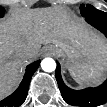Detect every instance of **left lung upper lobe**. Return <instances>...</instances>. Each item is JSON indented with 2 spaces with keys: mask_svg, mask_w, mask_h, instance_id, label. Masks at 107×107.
I'll return each mask as SVG.
<instances>
[{
  "mask_svg": "<svg viewBox=\"0 0 107 107\" xmlns=\"http://www.w3.org/2000/svg\"><path fill=\"white\" fill-rule=\"evenodd\" d=\"M80 10H81V14L84 17H89V16H92V15H95V14L102 13V11L97 10L95 7H93L90 4H87L86 6L82 5L80 7Z\"/></svg>",
  "mask_w": 107,
  "mask_h": 107,
  "instance_id": "1",
  "label": "left lung upper lobe"
}]
</instances>
